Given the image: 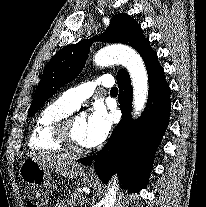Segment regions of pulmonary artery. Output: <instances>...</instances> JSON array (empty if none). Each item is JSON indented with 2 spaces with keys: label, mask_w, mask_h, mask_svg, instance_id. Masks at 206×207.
I'll list each match as a JSON object with an SVG mask.
<instances>
[{
  "label": "pulmonary artery",
  "mask_w": 206,
  "mask_h": 207,
  "mask_svg": "<svg viewBox=\"0 0 206 207\" xmlns=\"http://www.w3.org/2000/svg\"><path fill=\"white\" fill-rule=\"evenodd\" d=\"M98 85L111 87L113 85V76L104 74L94 81L84 83L78 87L71 88L62 95L63 100L74 110L78 109L80 104L89 98Z\"/></svg>",
  "instance_id": "pulmonary-artery-1"
}]
</instances>
